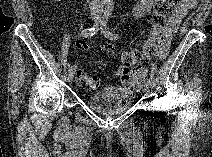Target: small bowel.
<instances>
[{
	"label": "small bowel",
	"mask_w": 212,
	"mask_h": 157,
	"mask_svg": "<svg viewBox=\"0 0 212 157\" xmlns=\"http://www.w3.org/2000/svg\"><path fill=\"white\" fill-rule=\"evenodd\" d=\"M195 5L196 2L194 0H181L177 3L174 13L168 19L167 24L164 27V32L166 33V36H164L159 43V49H160V53L158 55L159 58L163 59L167 56L171 38L176 32L183 17L187 14V12L190 9H193ZM152 6H153L152 0L139 1L134 7L133 10L134 16L135 17L143 16L152 8ZM75 45L76 48L81 52H88L90 50V46L81 40L76 41ZM143 76H140L137 79H132L128 82H123V87L125 89H138L140 87Z\"/></svg>",
	"instance_id": "obj_1"
}]
</instances>
